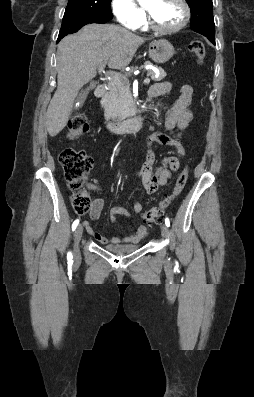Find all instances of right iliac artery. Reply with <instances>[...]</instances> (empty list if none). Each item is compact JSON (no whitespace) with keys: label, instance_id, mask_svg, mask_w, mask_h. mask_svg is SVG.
Instances as JSON below:
<instances>
[{"label":"right iliac artery","instance_id":"82829eb1","mask_svg":"<svg viewBox=\"0 0 254 397\" xmlns=\"http://www.w3.org/2000/svg\"><path fill=\"white\" fill-rule=\"evenodd\" d=\"M78 224H79V219H76V220L73 222V224H72V230H73V231L76 229V227H77ZM67 258H68L69 261L72 260V254H71L70 252L68 253Z\"/></svg>","mask_w":254,"mask_h":397}]
</instances>
